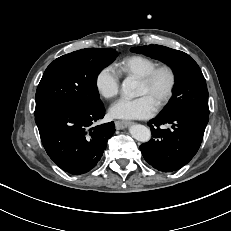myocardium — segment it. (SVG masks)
Wrapping results in <instances>:
<instances>
[{"label":"myocardium","instance_id":"obj_1","mask_svg":"<svg viewBox=\"0 0 231 231\" xmlns=\"http://www.w3.org/2000/svg\"><path fill=\"white\" fill-rule=\"evenodd\" d=\"M162 74H165L168 78L167 87L162 94V96L159 98L158 102L156 103V109L160 110L164 106L168 104V102L171 100L176 86H177V73L174 69V67L170 64H161L156 65L151 71H149L146 75L139 78L140 82L144 85L150 87L152 86L158 77Z\"/></svg>","mask_w":231,"mask_h":231}]
</instances>
